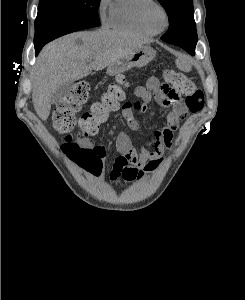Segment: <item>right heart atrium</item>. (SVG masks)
<instances>
[{"label": "right heart atrium", "instance_id": "1", "mask_svg": "<svg viewBox=\"0 0 245 300\" xmlns=\"http://www.w3.org/2000/svg\"><path fill=\"white\" fill-rule=\"evenodd\" d=\"M111 0H99L97 5V12L102 22L107 21V13L110 12Z\"/></svg>", "mask_w": 245, "mask_h": 300}]
</instances>
